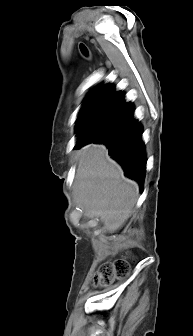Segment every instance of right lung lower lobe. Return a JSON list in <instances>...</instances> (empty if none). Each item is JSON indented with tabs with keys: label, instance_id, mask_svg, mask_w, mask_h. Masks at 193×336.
I'll use <instances>...</instances> for the list:
<instances>
[{
	"label": "right lung lower lobe",
	"instance_id": "right-lung-lower-lobe-1",
	"mask_svg": "<svg viewBox=\"0 0 193 336\" xmlns=\"http://www.w3.org/2000/svg\"><path fill=\"white\" fill-rule=\"evenodd\" d=\"M134 109L124 98L114 108L103 130L86 142H79L76 148L87 143H103L110 156L121 164L125 175L143 186L146 172V156L142 141V127L134 119Z\"/></svg>",
	"mask_w": 193,
	"mask_h": 336
}]
</instances>
